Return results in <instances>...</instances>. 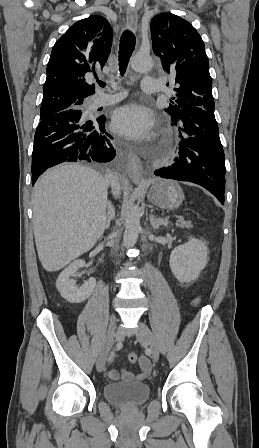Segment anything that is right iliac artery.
<instances>
[{"label": "right iliac artery", "mask_w": 259, "mask_h": 448, "mask_svg": "<svg viewBox=\"0 0 259 448\" xmlns=\"http://www.w3.org/2000/svg\"><path fill=\"white\" fill-rule=\"evenodd\" d=\"M114 355H115V353H114V351H112V352L110 353L109 358H108V361H109V362H112V361H113Z\"/></svg>", "instance_id": "1"}]
</instances>
